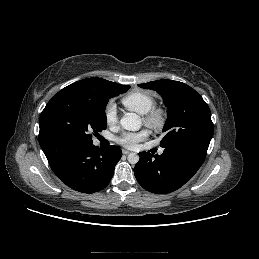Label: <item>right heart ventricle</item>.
Instances as JSON below:
<instances>
[{
  "label": "right heart ventricle",
  "mask_w": 259,
  "mask_h": 259,
  "mask_svg": "<svg viewBox=\"0 0 259 259\" xmlns=\"http://www.w3.org/2000/svg\"><path fill=\"white\" fill-rule=\"evenodd\" d=\"M122 103L127 109L143 115L155 105V100L146 92L135 91L124 96Z\"/></svg>",
  "instance_id": "e07e8e85"
}]
</instances>
